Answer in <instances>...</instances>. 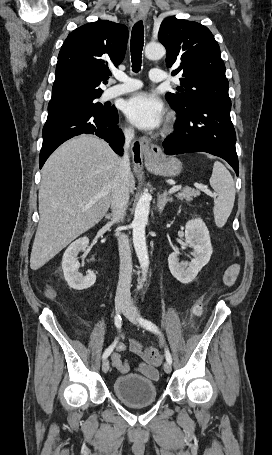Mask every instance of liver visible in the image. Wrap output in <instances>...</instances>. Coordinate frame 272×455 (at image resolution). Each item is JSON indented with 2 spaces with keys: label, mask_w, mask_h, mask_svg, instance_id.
I'll use <instances>...</instances> for the list:
<instances>
[{
  "label": "liver",
  "mask_w": 272,
  "mask_h": 455,
  "mask_svg": "<svg viewBox=\"0 0 272 455\" xmlns=\"http://www.w3.org/2000/svg\"><path fill=\"white\" fill-rule=\"evenodd\" d=\"M120 159L102 139L80 135L46 161L39 189L40 220L30 268L38 270L106 214ZM135 188L133 174L129 190Z\"/></svg>",
  "instance_id": "1"
}]
</instances>
